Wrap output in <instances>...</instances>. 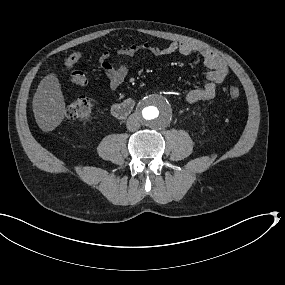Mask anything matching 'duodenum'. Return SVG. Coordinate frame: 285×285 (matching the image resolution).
Returning <instances> with one entry per match:
<instances>
[{"instance_id":"duodenum-1","label":"duodenum","mask_w":285,"mask_h":285,"mask_svg":"<svg viewBox=\"0 0 285 285\" xmlns=\"http://www.w3.org/2000/svg\"><path fill=\"white\" fill-rule=\"evenodd\" d=\"M134 101L127 99L120 103H116L111 107V113L114 117L122 119L127 117L133 110Z\"/></svg>"}]
</instances>
